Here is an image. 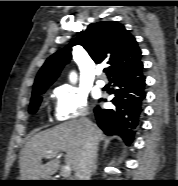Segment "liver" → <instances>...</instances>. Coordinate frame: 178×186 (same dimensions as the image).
<instances>
[{
    "mask_svg": "<svg viewBox=\"0 0 178 186\" xmlns=\"http://www.w3.org/2000/svg\"><path fill=\"white\" fill-rule=\"evenodd\" d=\"M92 127L94 138L98 144L103 133L96 125L92 124ZM84 129L83 119L72 120L31 137L20 154L21 180H45L55 174L60 166L59 159H52L46 164H42V159L50 151H64L66 165H70L75 170L82 157L85 142Z\"/></svg>",
    "mask_w": 178,
    "mask_h": 186,
    "instance_id": "6515ba94",
    "label": "liver"
}]
</instances>
